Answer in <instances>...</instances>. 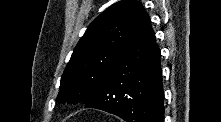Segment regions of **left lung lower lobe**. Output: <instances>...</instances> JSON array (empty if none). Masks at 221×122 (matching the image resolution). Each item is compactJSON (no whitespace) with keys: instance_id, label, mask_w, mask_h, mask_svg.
<instances>
[{"instance_id":"left-lung-lower-lobe-1","label":"left lung lower lobe","mask_w":221,"mask_h":122,"mask_svg":"<svg viewBox=\"0 0 221 122\" xmlns=\"http://www.w3.org/2000/svg\"><path fill=\"white\" fill-rule=\"evenodd\" d=\"M85 107L115 114L127 122H163L160 50L142 4L121 56Z\"/></svg>"}]
</instances>
